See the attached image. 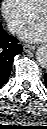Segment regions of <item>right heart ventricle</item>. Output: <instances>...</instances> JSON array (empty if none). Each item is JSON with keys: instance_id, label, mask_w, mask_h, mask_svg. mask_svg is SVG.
I'll use <instances>...</instances> for the list:
<instances>
[{"instance_id": "e07e8e85", "label": "right heart ventricle", "mask_w": 47, "mask_h": 129, "mask_svg": "<svg viewBox=\"0 0 47 129\" xmlns=\"http://www.w3.org/2000/svg\"><path fill=\"white\" fill-rule=\"evenodd\" d=\"M27 10L30 13H34V11L45 1V0H21Z\"/></svg>"}]
</instances>
